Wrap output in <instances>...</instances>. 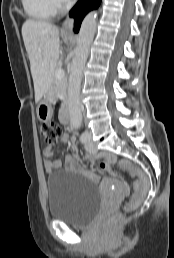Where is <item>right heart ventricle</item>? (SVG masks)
<instances>
[{
  "instance_id": "e07e8e85",
  "label": "right heart ventricle",
  "mask_w": 174,
  "mask_h": 258,
  "mask_svg": "<svg viewBox=\"0 0 174 258\" xmlns=\"http://www.w3.org/2000/svg\"><path fill=\"white\" fill-rule=\"evenodd\" d=\"M25 13L34 20L45 21L56 13L53 0H21Z\"/></svg>"
}]
</instances>
